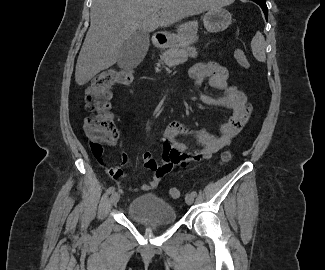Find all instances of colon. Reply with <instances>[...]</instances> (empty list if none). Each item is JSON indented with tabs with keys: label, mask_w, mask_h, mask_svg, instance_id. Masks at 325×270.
Returning <instances> with one entry per match:
<instances>
[{
	"label": "colon",
	"mask_w": 325,
	"mask_h": 270,
	"mask_svg": "<svg viewBox=\"0 0 325 270\" xmlns=\"http://www.w3.org/2000/svg\"><path fill=\"white\" fill-rule=\"evenodd\" d=\"M234 58L240 66L245 69L250 67L248 58L243 50L235 49ZM133 81V74L129 71L109 69L99 73L89 83L85 92L86 107L93 112L85 120V132L88 136L90 149L95 157H101L103 144L112 143L117 131L110 112L111 88L114 85L129 86ZM232 153L227 150L222 153L220 162L222 164L231 160ZM173 199L181 196L180 189L173 187L169 191Z\"/></svg>",
	"instance_id": "1"
}]
</instances>
